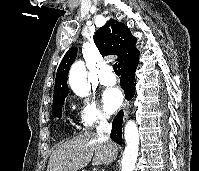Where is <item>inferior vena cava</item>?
I'll return each mask as SVG.
<instances>
[{
    "mask_svg": "<svg viewBox=\"0 0 199 171\" xmlns=\"http://www.w3.org/2000/svg\"><path fill=\"white\" fill-rule=\"evenodd\" d=\"M99 138L105 142L110 143V133H111V124L108 122L106 117L101 116L99 118V123L96 128Z\"/></svg>",
    "mask_w": 199,
    "mask_h": 171,
    "instance_id": "1",
    "label": "inferior vena cava"
}]
</instances>
